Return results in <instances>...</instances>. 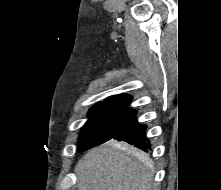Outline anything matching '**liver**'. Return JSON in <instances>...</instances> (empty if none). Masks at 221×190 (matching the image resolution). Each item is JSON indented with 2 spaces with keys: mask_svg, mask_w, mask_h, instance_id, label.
Segmentation results:
<instances>
[{
  "mask_svg": "<svg viewBox=\"0 0 221 190\" xmlns=\"http://www.w3.org/2000/svg\"><path fill=\"white\" fill-rule=\"evenodd\" d=\"M75 172L79 190H153L148 157L115 141L86 153Z\"/></svg>",
  "mask_w": 221,
  "mask_h": 190,
  "instance_id": "6515ba94",
  "label": "liver"
}]
</instances>
